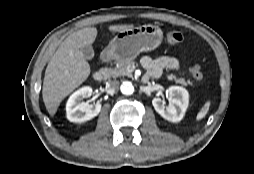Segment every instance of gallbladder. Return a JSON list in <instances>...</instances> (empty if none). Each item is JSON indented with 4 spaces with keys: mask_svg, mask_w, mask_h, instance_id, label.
<instances>
[{
    "mask_svg": "<svg viewBox=\"0 0 254 174\" xmlns=\"http://www.w3.org/2000/svg\"><path fill=\"white\" fill-rule=\"evenodd\" d=\"M81 52L87 60H90L94 57V50L90 45L82 47Z\"/></svg>",
    "mask_w": 254,
    "mask_h": 174,
    "instance_id": "gallbladder-1",
    "label": "gallbladder"
}]
</instances>
